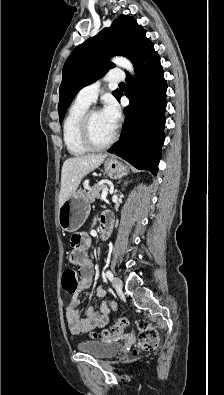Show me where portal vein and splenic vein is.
Instances as JSON below:
<instances>
[{"instance_id": "portal-vein-and-splenic-vein-1", "label": "portal vein and splenic vein", "mask_w": 224, "mask_h": 395, "mask_svg": "<svg viewBox=\"0 0 224 395\" xmlns=\"http://www.w3.org/2000/svg\"><path fill=\"white\" fill-rule=\"evenodd\" d=\"M107 194H108V188H104V189L102 190L101 200H105Z\"/></svg>"}]
</instances>
